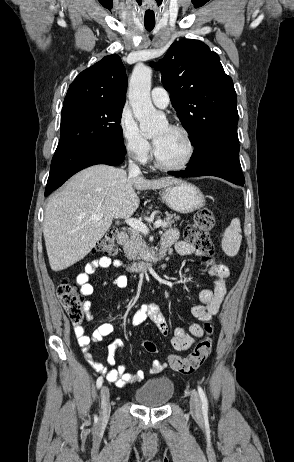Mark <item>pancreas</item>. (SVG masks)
Returning <instances> with one entry per match:
<instances>
[{
  "mask_svg": "<svg viewBox=\"0 0 294 462\" xmlns=\"http://www.w3.org/2000/svg\"><path fill=\"white\" fill-rule=\"evenodd\" d=\"M179 219L180 217L178 215L167 212L166 217L162 222V227H171L172 224ZM123 250L127 259L133 261L146 259L147 253L149 252V248L143 238V235L135 229L130 230L129 238L125 242Z\"/></svg>",
  "mask_w": 294,
  "mask_h": 462,
  "instance_id": "obj_1",
  "label": "pancreas"
}]
</instances>
